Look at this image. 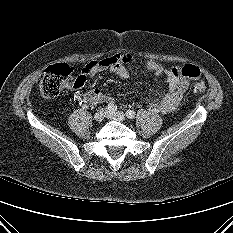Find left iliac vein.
Segmentation results:
<instances>
[{
	"label": "left iliac vein",
	"mask_w": 233,
	"mask_h": 233,
	"mask_svg": "<svg viewBox=\"0 0 233 233\" xmlns=\"http://www.w3.org/2000/svg\"><path fill=\"white\" fill-rule=\"evenodd\" d=\"M108 118L111 120H116V121H124L126 119V116L123 112L118 111V112H114V113H108Z\"/></svg>",
	"instance_id": "obj_1"
}]
</instances>
